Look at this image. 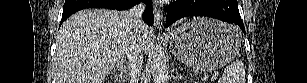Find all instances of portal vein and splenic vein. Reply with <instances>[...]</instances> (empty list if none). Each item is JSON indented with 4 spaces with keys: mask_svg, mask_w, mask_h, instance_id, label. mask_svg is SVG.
<instances>
[{
    "mask_svg": "<svg viewBox=\"0 0 307 83\" xmlns=\"http://www.w3.org/2000/svg\"><path fill=\"white\" fill-rule=\"evenodd\" d=\"M218 76H219V73H217V72L213 74L214 78H217Z\"/></svg>",
    "mask_w": 307,
    "mask_h": 83,
    "instance_id": "obj_1",
    "label": "portal vein and splenic vein"
}]
</instances>
